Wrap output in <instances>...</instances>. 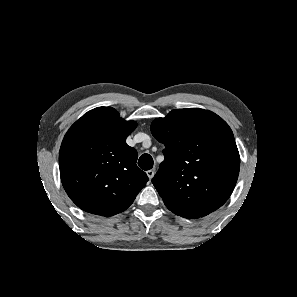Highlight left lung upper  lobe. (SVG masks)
<instances>
[{
  "mask_svg": "<svg viewBox=\"0 0 297 297\" xmlns=\"http://www.w3.org/2000/svg\"><path fill=\"white\" fill-rule=\"evenodd\" d=\"M151 132L165 145L152 183L170 211L194 219L226 202L238 179L240 156L221 117L200 108L175 109L155 119Z\"/></svg>",
  "mask_w": 297,
  "mask_h": 297,
  "instance_id": "left-lung-upper-lobe-1",
  "label": "left lung upper lobe"
}]
</instances>
